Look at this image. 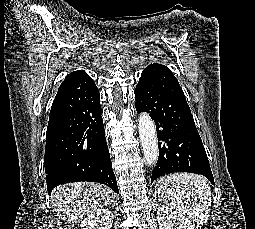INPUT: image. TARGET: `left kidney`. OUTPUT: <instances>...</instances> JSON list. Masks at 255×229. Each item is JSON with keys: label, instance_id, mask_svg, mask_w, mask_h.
I'll return each instance as SVG.
<instances>
[{"label": "left kidney", "instance_id": "left-kidney-1", "mask_svg": "<svg viewBox=\"0 0 255 229\" xmlns=\"http://www.w3.org/2000/svg\"><path fill=\"white\" fill-rule=\"evenodd\" d=\"M157 220L160 229H172L177 223V229H194L190 220L180 212H176L166 206H161L157 210Z\"/></svg>", "mask_w": 255, "mask_h": 229}]
</instances>
